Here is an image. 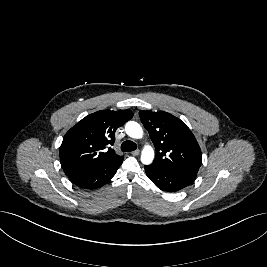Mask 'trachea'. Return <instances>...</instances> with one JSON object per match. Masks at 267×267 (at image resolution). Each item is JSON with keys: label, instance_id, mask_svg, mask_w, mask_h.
Returning a JSON list of instances; mask_svg holds the SVG:
<instances>
[{"label": "trachea", "instance_id": "trachea-1", "mask_svg": "<svg viewBox=\"0 0 267 267\" xmlns=\"http://www.w3.org/2000/svg\"><path fill=\"white\" fill-rule=\"evenodd\" d=\"M136 148H137V145H136L134 142L129 141V140L124 141V142L121 144V150H122L123 152L134 151V150H136Z\"/></svg>", "mask_w": 267, "mask_h": 267}]
</instances>
